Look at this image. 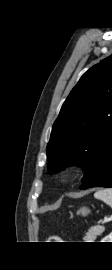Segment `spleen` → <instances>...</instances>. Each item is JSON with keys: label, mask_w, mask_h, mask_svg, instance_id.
Wrapping results in <instances>:
<instances>
[{"label": "spleen", "mask_w": 112, "mask_h": 270, "mask_svg": "<svg viewBox=\"0 0 112 270\" xmlns=\"http://www.w3.org/2000/svg\"><path fill=\"white\" fill-rule=\"evenodd\" d=\"M96 199L102 200L112 208V188H105L94 194Z\"/></svg>", "instance_id": "spleen-1"}]
</instances>
